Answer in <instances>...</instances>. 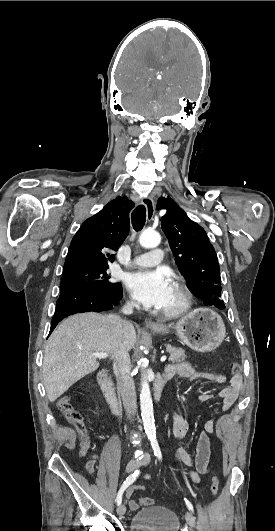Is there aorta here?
Returning a JSON list of instances; mask_svg holds the SVG:
<instances>
[{
    "label": "aorta",
    "mask_w": 275,
    "mask_h": 531,
    "mask_svg": "<svg viewBox=\"0 0 275 531\" xmlns=\"http://www.w3.org/2000/svg\"><path fill=\"white\" fill-rule=\"evenodd\" d=\"M160 241L159 233H156V231H149V229L143 231L139 237V243L143 249H154V247H158ZM140 367H142V373H144L143 369L146 367L145 359H141ZM142 377L140 393L141 417L146 435H148V437H155L153 403L149 383L145 375H142Z\"/></svg>",
    "instance_id": "762f6f07"
}]
</instances>
